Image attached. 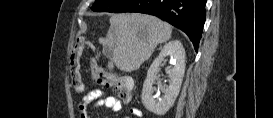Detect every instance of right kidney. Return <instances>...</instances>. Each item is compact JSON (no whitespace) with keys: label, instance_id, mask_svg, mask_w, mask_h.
<instances>
[{"label":"right kidney","instance_id":"obj_1","mask_svg":"<svg viewBox=\"0 0 273 118\" xmlns=\"http://www.w3.org/2000/svg\"><path fill=\"white\" fill-rule=\"evenodd\" d=\"M170 56L173 68L167 69L169 86L163 90L162 98L153 95V84L158 78L160 65L165 57ZM185 72V50L178 40H173L164 45L159 56L153 61L147 72V77L142 89V103L145 108L157 115L165 114L174 104L181 88Z\"/></svg>","mask_w":273,"mask_h":118}]
</instances>
